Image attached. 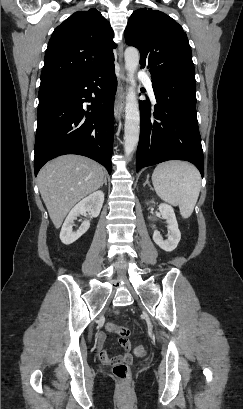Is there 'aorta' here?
Returning a JSON list of instances; mask_svg holds the SVG:
<instances>
[{
    "instance_id": "1",
    "label": "aorta",
    "mask_w": 243,
    "mask_h": 409,
    "mask_svg": "<svg viewBox=\"0 0 243 409\" xmlns=\"http://www.w3.org/2000/svg\"><path fill=\"white\" fill-rule=\"evenodd\" d=\"M125 68L130 86L127 89L125 106V127H124V152L130 156L139 141L140 132V111L136 96L135 72L140 61V54L134 47H128L124 53Z\"/></svg>"
}]
</instances>
